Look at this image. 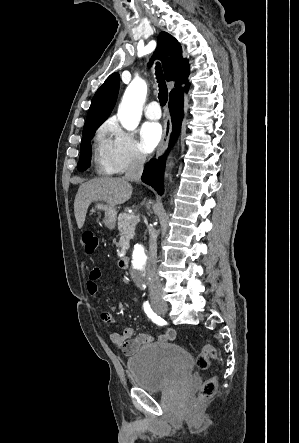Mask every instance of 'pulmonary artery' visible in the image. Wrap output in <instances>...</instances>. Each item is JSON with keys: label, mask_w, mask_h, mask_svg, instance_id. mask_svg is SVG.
Segmentation results:
<instances>
[{"label": "pulmonary artery", "mask_w": 299, "mask_h": 443, "mask_svg": "<svg viewBox=\"0 0 299 443\" xmlns=\"http://www.w3.org/2000/svg\"><path fill=\"white\" fill-rule=\"evenodd\" d=\"M145 116L148 119L157 120L161 117L160 105L157 101H151L145 108Z\"/></svg>", "instance_id": "pulmonary-artery-1"}]
</instances>
